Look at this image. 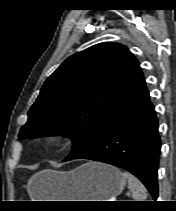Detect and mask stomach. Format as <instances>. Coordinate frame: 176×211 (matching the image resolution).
Segmentation results:
<instances>
[{
	"mask_svg": "<svg viewBox=\"0 0 176 211\" xmlns=\"http://www.w3.org/2000/svg\"><path fill=\"white\" fill-rule=\"evenodd\" d=\"M126 180L111 165L88 162L73 171L43 170L29 181L36 201H109L123 191Z\"/></svg>",
	"mask_w": 176,
	"mask_h": 211,
	"instance_id": "stomach-1",
	"label": "stomach"
}]
</instances>
